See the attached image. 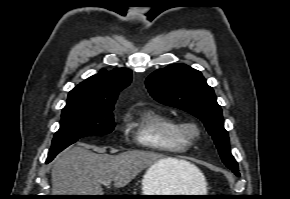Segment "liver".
<instances>
[{"instance_id": "6515ba94", "label": "liver", "mask_w": 290, "mask_h": 199, "mask_svg": "<svg viewBox=\"0 0 290 199\" xmlns=\"http://www.w3.org/2000/svg\"><path fill=\"white\" fill-rule=\"evenodd\" d=\"M160 164L182 179L179 193L191 190L200 170L193 164L141 150L110 156L75 146L59 154L52 166V195H102L101 184L113 181L115 188L129 184L142 170Z\"/></svg>"}]
</instances>
